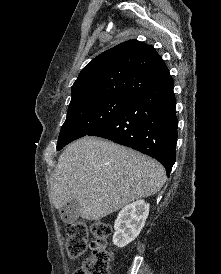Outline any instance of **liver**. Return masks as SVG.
I'll use <instances>...</instances> for the list:
<instances>
[{
  "label": "liver",
  "instance_id": "obj_1",
  "mask_svg": "<svg viewBox=\"0 0 221 274\" xmlns=\"http://www.w3.org/2000/svg\"><path fill=\"white\" fill-rule=\"evenodd\" d=\"M165 181V169L156 160L86 136L59 156L51 199L56 209L76 200L83 219L99 220L134 200L156 194Z\"/></svg>",
  "mask_w": 221,
  "mask_h": 274
}]
</instances>
